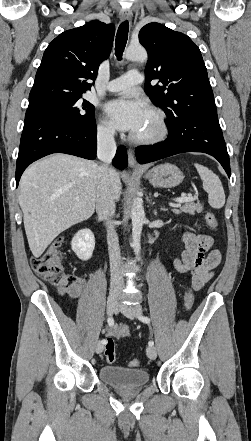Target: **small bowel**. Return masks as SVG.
Wrapping results in <instances>:
<instances>
[{
    "mask_svg": "<svg viewBox=\"0 0 251 441\" xmlns=\"http://www.w3.org/2000/svg\"><path fill=\"white\" fill-rule=\"evenodd\" d=\"M184 249L173 260V266L178 273H191V287L194 290L201 289L212 277L213 271L221 262V253L213 249V238L206 234L185 232L183 235ZM84 281L79 282L66 291L70 298H77L83 291ZM110 337H125L130 335L127 325L119 324L112 326L108 331Z\"/></svg>",
    "mask_w": 251,
    "mask_h": 441,
    "instance_id": "small-bowel-1",
    "label": "small bowel"
}]
</instances>
